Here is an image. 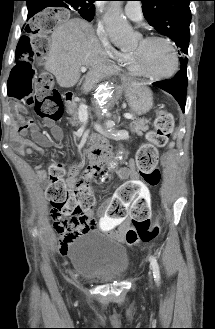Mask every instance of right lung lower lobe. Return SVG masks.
<instances>
[{"instance_id":"right-lung-lower-lobe-1","label":"right lung lower lobe","mask_w":215,"mask_h":329,"mask_svg":"<svg viewBox=\"0 0 215 329\" xmlns=\"http://www.w3.org/2000/svg\"><path fill=\"white\" fill-rule=\"evenodd\" d=\"M43 2L39 0H27L28 18L32 17L43 9Z\"/></svg>"}]
</instances>
